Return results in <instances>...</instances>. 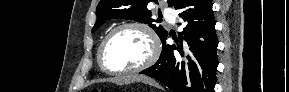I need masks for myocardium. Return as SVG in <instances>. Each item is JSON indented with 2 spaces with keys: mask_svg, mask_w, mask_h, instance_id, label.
<instances>
[{
  "mask_svg": "<svg viewBox=\"0 0 289 92\" xmlns=\"http://www.w3.org/2000/svg\"><path fill=\"white\" fill-rule=\"evenodd\" d=\"M126 28H136L139 29L141 31H143L145 33V35L147 36L149 43H150V54L148 56V58L141 63L140 65L133 67V68H129V69H123V70H112L110 68H108L105 64L104 61V53H105V49L109 43V41L112 39V37L118 33L119 31L126 29ZM160 42L158 39V36L156 35L155 31L146 23L143 22H138V21H131V22H124L119 24L118 26H116L115 28H113L102 40L99 49H98V53H97V59H98V63L100 68L108 73V74H112V75H127V74H134V73H138L141 72L147 68H149L150 66H152L158 59L159 55H160Z\"/></svg>",
  "mask_w": 289,
  "mask_h": 92,
  "instance_id": "1",
  "label": "myocardium"
}]
</instances>
